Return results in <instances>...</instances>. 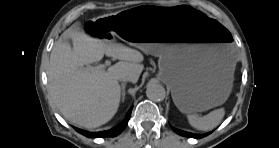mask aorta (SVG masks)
<instances>
[{
  "mask_svg": "<svg viewBox=\"0 0 279 148\" xmlns=\"http://www.w3.org/2000/svg\"><path fill=\"white\" fill-rule=\"evenodd\" d=\"M146 95L150 100L159 102L164 100L166 91L162 85L153 83L147 86Z\"/></svg>",
  "mask_w": 279,
  "mask_h": 148,
  "instance_id": "762f6f07",
  "label": "aorta"
}]
</instances>
